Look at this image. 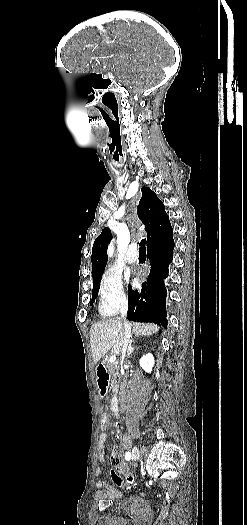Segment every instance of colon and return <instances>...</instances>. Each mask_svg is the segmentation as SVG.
Segmentation results:
<instances>
[{"label": "colon", "mask_w": 247, "mask_h": 525, "mask_svg": "<svg viewBox=\"0 0 247 525\" xmlns=\"http://www.w3.org/2000/svg\"><path fill=\"white\" fill-rule=\"evenodd\" d=\"M109 424H110V421L108 418L106 417H103L99 420V425L102 427V430L104 432H107L109 430Z\"/></svg>", "instance_id": "5ec220e1"}]
</instances>
